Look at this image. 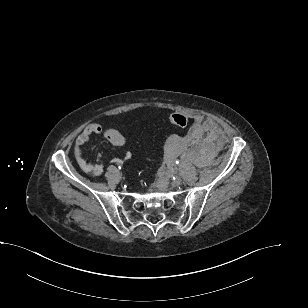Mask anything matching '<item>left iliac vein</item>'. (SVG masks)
<instances>
[{"mask_svg":"<svg viewBox=\"0 0 308 308\" xmlns=\"http://www.w3.org/2000/svg\"><path fill=\"white\" fill-rule=\"evenodd\" d=\"M181 183H182V179H181V177H179V176H176V177L174 178V180H172V184H173L174 186H180Z\"/></svg>","mask_w":308,"mask_h":308,"instance_id":"obj_1","label":"left iliac vein"}]
</instances>
